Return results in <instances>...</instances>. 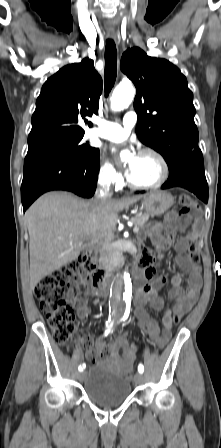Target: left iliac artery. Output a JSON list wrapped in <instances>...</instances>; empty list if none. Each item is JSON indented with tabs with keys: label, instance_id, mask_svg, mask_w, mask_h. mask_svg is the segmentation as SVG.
I'll use <instances>...</instances> for the list:
<instances>
[{
	"label": "left iliac artery",
	"instance_id": "44dca946",
	"mask_svg": "<svg viewBox=\"0 0 221 448\" xmlns=\"http://www.w3.org/2000/svg\"><path fill=\"white\" fill-rule=\"evenodd\" d=\"M127 318H128V315H124L123 320H126ZM143 371H144V366L142 364H139L138 372L143 373Z\"/></svg>",
	"mask_w": 221,
	"mask_h": 448
}]
</instances>
